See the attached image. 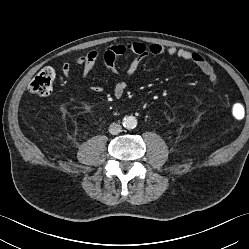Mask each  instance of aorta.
Instances as JSON below:
<instances>
[{
    "mask_svg": "<svg viewBox=\"0 0 249 249\" xmlns=\"http://www.w3.org/2000/svg\"><path fill=\"white\" fill-rule=\"evenodd\" d=\"M123 126L126 129H133L137 126V119L134 116H126L123 120Z\"/></svg>",
    "mask_w": 249,
    "mask_h": 249,
    "instance_id": "aorta-1",
    "label": "aorta"
}]
</instances>
